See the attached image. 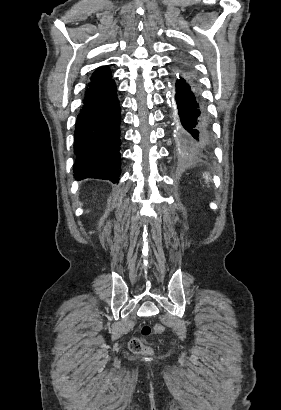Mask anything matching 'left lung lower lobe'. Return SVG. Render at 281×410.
<instances>
[{
  "mask_svg": "<svg viewBox=\"0 0 281 410\" xmlns=\"http://www.w3.org/2000/svg\"><path fill=\"white\" fill-rule=\"evenodd\" d=\"M174 78L173 121L176 138L194 151H207L212 146L210 123L198 94L194 76L176 70Z\"/></svg>",
  "mask_w": 281,
  "mask_h": 410,
  "instance_id": "left-lung-lower-lobe-1",
  "label": "left lung lower lobe"
}]
</instances>
